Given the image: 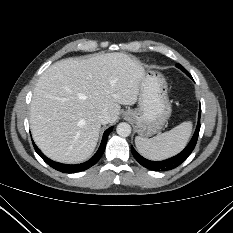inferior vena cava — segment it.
Instances as JSON below:
<instances>
[{"label":"inferior vena cava","instance_id":"obj_1","mask_svg":"<svg viewBox=\"0 0 233 233\" xmlns=\"http://www.w3.org/2000/svg\"><path fill=\"white\" fill-rule=\"evenodd\" d=\"M98 120L101 124H108L110 121V115L107 111L103 110L98 114Z\"/></svg>","mask_w":233,"mask_h":233}]
</instances>
